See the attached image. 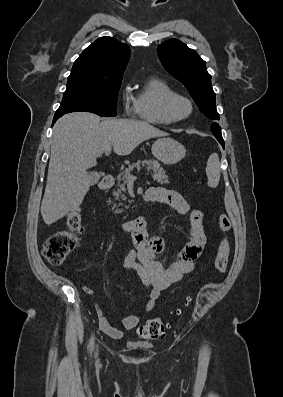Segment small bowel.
<instances>
[{
    "label": "small bowel",
    "mask_w": 283,
    "mask_h": 397,
    "mask_svg": "<svg viewBox=\"0 0 283 397\" xmlns=\"http://www.w3.org/2000/svg\"><path fill=\"white\" fill-rule=\"evenodd\" d=\"M146 199L173 208L180 214L189 213L191 240L180 249L173 250L163 238L150 237L144 228L131 233L135 249L126 255L122 265L124 269L136 272L148 289V297L143 313L129 315L121 320V326L125 330L133 329L142 315L154 308L163 290L194 270L207 246L202 213L191 210L178 192L163 187H151L146 192ZM95 309L100 330L112 338H122L123 330L112 326L97 305Z\"/></svg>",
    "instance_id": "1"
}]
</instances>
